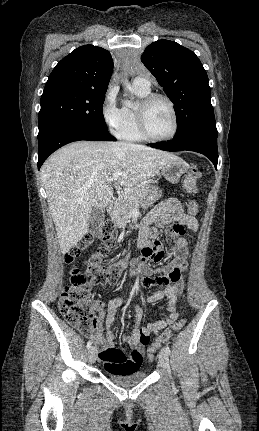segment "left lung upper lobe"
<instances>
[{
    "mask_svg": "<svg viewBox=\"0 0 259 431\" xmlns=\"http://www.w3.org/2000/svg\"><path fill=\"white\" fill-rule=\"evenodd\" d=\"M141 61L175 105V136L199 129L217 132L208 76L194 52L159 40L145 49Z\"/></svg>",
    "mask_w": 259,
    "mask_h": 431,
    "instance_id": "5c2ea615",
    "label": "left lung upper lobe"
}]
</instances>
